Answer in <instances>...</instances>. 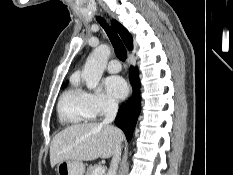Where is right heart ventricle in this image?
<instances>
[{
  "label": "right heart ventricle",
  "instance_id": "right-heart-ventricle-1",
  "mask_svg": "<svg viewBox=\"0 0 233 175\" xmlns=\"http://www.w3.org/2000/svg\"><path fill=\"white\" fill-rule=\"evenodd\" d=\"M57 112L59 120L67 125H81L95 117L86 92L76 82L62 92Z\"/></svg>",
  "mask_w": 233,
  "mask_h": 175
}]
</instances>
